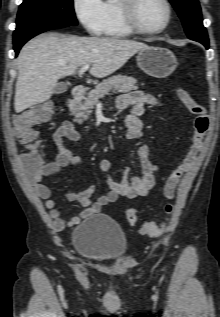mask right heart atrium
I'll return each instance as SVG.
<instances>
[{
  "instance_id": "1",
  "label": "right heart atrium",
  "mask_w": 220,
  "mask_h": 317,
  "mask_svg": "<svg viewBox=\"0 0 220 317\" xmlns=\"http://www.w3.org/2000/svg\"><path fill=\"white\" fill-rule=\"evenodd\" d=\"M72 7L78 21L88 33L93 35L101 33L102 0H72Z\"/></svg>"
}]
</instances>
